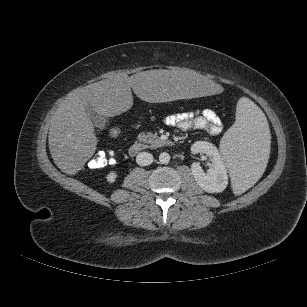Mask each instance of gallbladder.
<instances>
[{
	"label": "gallbladder",
	"instance_id": "bac80fb5",
	"mask_svg": "<svg viewBox=\"0 0 307 307\" xmlns=\"http://www.w3.org/2000/svg\"><path fill=\"white\" fill-rule=\"evenodd\" d=\"M89 118L92 120L94 125L100 129H103L106 126L107 120L99 114L93 107L88 106L86 109Z\"/></svg>",
	"mask_w": 307,
	"mask_h": 307
}]
</instances>
